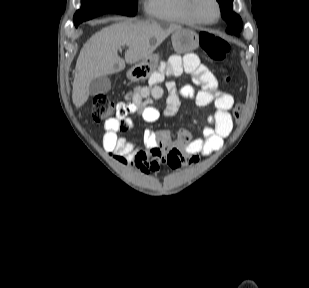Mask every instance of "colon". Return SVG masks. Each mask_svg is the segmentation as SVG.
I'll use <instances>...</instances> for the list:
<instances>
[{"label":"colon","instance_id":"obj_1","mask_svg":"<svg viewBox=\"0 0 309 288\" xmlns=\"http://www.w3.org/2000/svg\"><path fill=\"white\" fill-rule=\"evenodd\" d=\"M199 42L203 51L212 59L221 61L225 59L228 51L229 45L222 38L216 36L213 33L203 31L199 34ZM229 76L225 78V82L229 81ZM243 104H237L233 109V117L236 121L241 120ZM92 117L95 120H107L116 117L124 116L125 113L123 109L113 102L106 94L99 93L96 94L92 102Z\"/></svg>","mask_w":309,"mask_h":288}]
</instances>
